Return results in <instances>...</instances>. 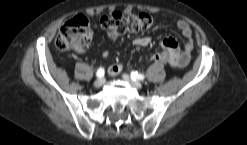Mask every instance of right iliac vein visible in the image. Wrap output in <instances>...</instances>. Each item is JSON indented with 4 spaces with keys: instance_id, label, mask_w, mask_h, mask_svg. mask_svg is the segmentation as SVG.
Here are the masks:
<instances>
[{
    "instance_id": "right-iliac-vein-1",
    "label": "right iliac vein",
    "mask_w": 247,
    "mask_h": 145,
    "mask_svg": "<svg viewBox=\"0 0 247 145\" xmlns=\"http://www.w3.org/2000/svg\"><path fill=\"white\" fill-rule=\"evenodd\" d=\"M105 82L104 78H98L95 82H94V87L96 88H100Z\"/></svg>"
}]
</instances>
